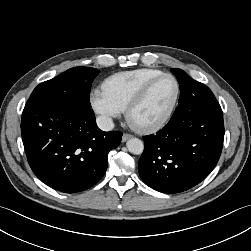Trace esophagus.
Instances as JSON below:
<instances>
[{
  "instance_id": "34e87169",
  "label": "esophagus",
  "mask_w": 251,
  "mask_h": 251,
  "mask_svg": "<svg viewBox=\"0 0 251 251\" xmlns=\"http://www.w3.org/2000/svg\"><path fill=\"white\" fill-rule=\"evenodd\" d=\"M131 137H132L131 134L124 133V134L122 135V142L127 141V140L130 139Z\"/></svg>"
}]
</instances>
